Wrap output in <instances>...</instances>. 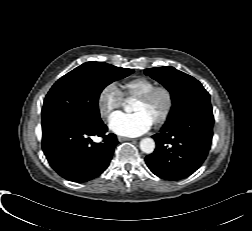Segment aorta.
<instances>
[{"instance_id":"1","label":"aorta","mask_w":252,"mask_h":231,"mask_svg":"<svg viewBox=\"0 0 252 231\" xmlns=\"http://www.w3.org/2000/svg\"><path fill=\"white\" fill-rule=\"evenodd\" d=\"M125 110L129 111L130 108L128 106H125ZM140 149L146 153L151 154L155 150V141L152 138H143L140 141Z\"/></svg>"}]
</instances>
